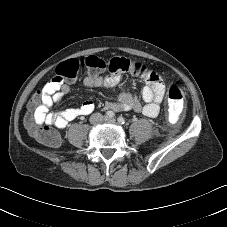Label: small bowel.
I'll return each instance as SVG.
<instances>
[{
  "instance_id": "c3829d8e",
  "label": "small bowel",
  "mask_w": 227,
  "mask_h": 227,
  "mask_svg": "<svg viewBox=\"0 0 227 227\" xmlns=\"http://www.w3.org/2000/svg\"><path fill=\"white\" fill-rule=\"evenodd\" d=\"M132 63L133 62L126 59H113L111 61V75L106 77L90 75L84 79L83 83L85 86L91 88H115L121 79L120 71H132ZM142 77L146 81V85L141 91L142 100L145 102L144 105H141L131 95L123 93L117 101L109 103L107 108L115 111L142 112L148 117H156L159 114L160 104L165 96L164 83L161 77L152 70H150L148 75ZM69 92L70 85L62 84L57 91L45 93L42 105L30 106L33 110L34 122L37 124L54 125L58 128H65L70 121L78 116L88 115L94 110V102L87 100L77 108H68L59 112H49V109L54 104L59 103ZM30 122H32V118L28 117L27 123L29 124Z\"/></svg>"
}]
</instances>
